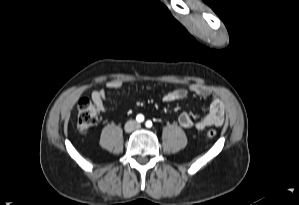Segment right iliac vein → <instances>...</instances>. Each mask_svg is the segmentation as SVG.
<instances>
[{
	"mask_svg": "<svg viewBox=\"0 0 299 205\" xmlns=\"http://www.w3.org/2000/svg\"><path fill=\"white\" fill-rule=\"evenodd\" d=\"M132 129H133V124L132 123L127 124L126 131L130 132L132 131Z\"/></svg>",
	"mask_w": 299,
	"mask_h": 205,
	"instance_id": "63e3f726",
	"label": "right iliac vein"
}]
</instances>
